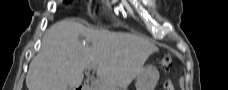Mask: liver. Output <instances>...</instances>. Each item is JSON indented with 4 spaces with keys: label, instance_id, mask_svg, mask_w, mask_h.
<instances>
[{
    "label": "liver",
    "instance_id": "6515ba94",
    "mask_svg": "<svg viewBox=\"0 0 228 90\" xmlns=\"http://www.w3.org/2000/svg\"><path fill=\"white\" fill-rule=\"evenodd\" d=\"M157 50L140 35L93 30L74 19L62 20L43 37L41 51L30 63L26 85L28 90H76L84 69L93 67L106 90H125Z\"/></svg>",
    "mask_w": 228,
    "mask_h": 90
}]
</instances>
